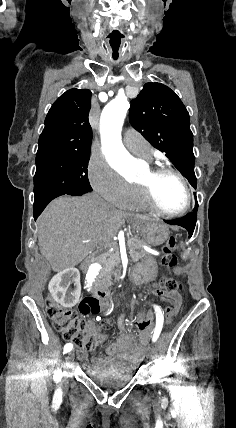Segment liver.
I'll use <instances>...</instances> for the list:
<instances>
[{
	"label": "liver",
	"mask_w": 236,
	"mask_h": 428,
	"mask_svg": "<svg viewBox=\"0 0 236 428\" xmlns=\"http://www.w3.org/2000/svg\"><path fill=\"white\" fill-rule=\"evenodd\" d=\"M125 220L144 226L146 216L124 214L109 206L97 194L81 198L60 196L38 218V246L54 272L73 268L97 246H112Z\"/></svg>",
	"instance_id": "liver-1"
}]
</instances>
